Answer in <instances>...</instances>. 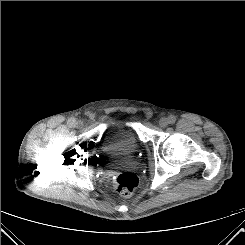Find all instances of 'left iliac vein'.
I'll list each match as a JSON object with an SVG mask.
<instances>
[{"instance_id":"4c4485c4","label":"left iliac vein","mask_w":245,"mask_h":245,"mask_svg":"<svg viewBox=\"0 0 245 245\" xmlns=\"http://www.w3.org/2000/svg\"><path fill=\"white\" fill-rule=\"evenodd\" d=\"M168 124H169V120L165 117H163L159 120V126L162 128L167 127Z\"/></svg>"}]
</instances>
